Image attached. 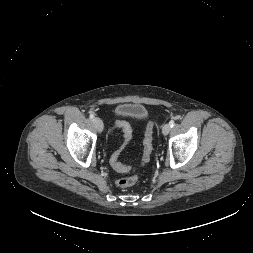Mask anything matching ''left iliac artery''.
I'll return each mask as SVG.
<instances>
[{"label":"left iliac artery","mask_w":253,"mask_h":253,"mask_svg":"<svg viewBox=\"0 0 253 253\" xmlns=\"http://www.w3.org/2000/svg\"><path fill=\"white\" fill-rule=\"evenodd\" d=\"M169 124H170L171 127H173L174 124H175L174 120H171V121L169 122Z\"/></svg>","instance_id":"left-iliac-artery-1"}]
</instances>
